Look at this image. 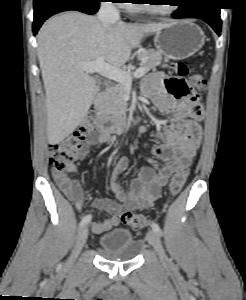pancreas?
<instances>
[{"instance_id": "obj_1", "label": "pancreas", "mask_w": 246, "mask_h": 300, "mask_svg": "<svg viewBox=\"0 0 246 300\" xmlns=\"http://www.w3.org/2000/svg\"><path fill=\"white\" fill-rule=\"evenodd\" d=\"M141 67L145 73L160 65L163 60L160 52L147 50L138 55ZM126 85L117 83L109 87L99 98L98 108L102 114L119 116L125 113L127 107Z\"/></svg>"}]
</instances>
